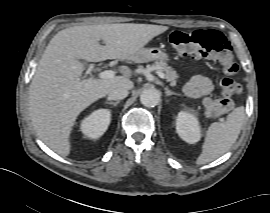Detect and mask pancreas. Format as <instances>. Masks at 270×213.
Returning <instances> with one entry per match:
<instances>
[{
    "label": "pancreas",
    "mask_w": 270,
    "mask_h": 213,
    "mask_svg": "<svg viewBox=\"0 0 270 213\" xmlns=\"http://www.w3.org/2000/svg\"><path fill=\"white\" fill-rule=\"evenodd\" d=\"M154 67L160 71H164L166 73L165 77L167 81L170 82V85L176 86L178 75L172 67L168 66L167 63L163 61L155 62Z\"/></svg>",
    "instance_id": "1"
}]
</instances>
